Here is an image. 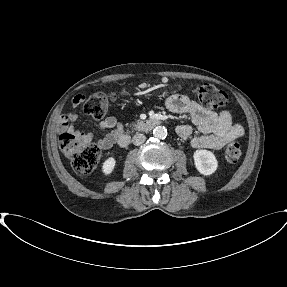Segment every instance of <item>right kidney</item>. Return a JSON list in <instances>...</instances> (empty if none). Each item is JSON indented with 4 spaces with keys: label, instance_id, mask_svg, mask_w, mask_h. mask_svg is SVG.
<instances>
[{
    "label": "right kidney",
    "instance_id": "1",
    "mask_svg": "<svg viewBox=\"0 0 287 287\" xmlns=\"http://www.w3.org/2000/svg\"><path fill=\"white\" fill-rule=\"evenodd\" d=\"M116 165V160L114 157H109L108 159H106L102 165V172L105 175H109L112 173V171L114 170Z\"/></svg>",
    "mask_w": 287,
    "mask_h": 287
}]
</instances>
